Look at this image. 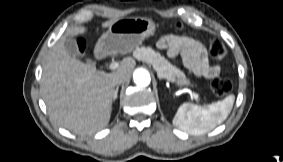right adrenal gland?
<instances>
[{
    "instance_id": "obj_1",
    "label": "right adrenal gland",
    "mask_w": 283,
    "mask_h": 162,
    "mask_svg": "<svg viewBox=\"0 0 283 162\" xmlns=\"http://www.w3.org/2000/svg\"><path fill=\"white\" fill-rule=\"evenodd\" d=\"M118 90H119V87L117 86L115 89L114 100L117 99Z\"/></svg>"
}]
</instances>
